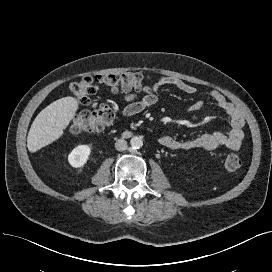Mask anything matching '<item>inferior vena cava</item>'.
I'll return each mask as SVG.
<instances>
[{"label": "inferior vena cava", "instance_id": "obj_1", "mask_svg": "<svg viewBox=\"0 0 272 272\" xmlns=\"http://www.w3.org/2000/svg\"><path fill=\"white\" fill-rule=\"evenodd\" d=\"M115 148L118 151H124L127 149V142L124 139H119L115 143Z\"/></svg>", "mask_w": 272, "mask_h": 272}]
</instances>
